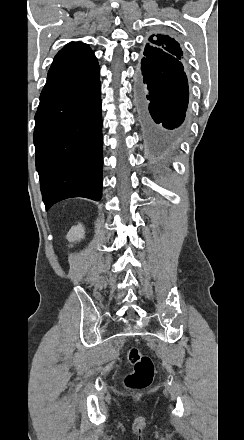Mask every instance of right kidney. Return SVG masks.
<instances>
[{"mask_svg": "<svg viewBox=\"0 0 244 440\" xmlns=\"http://www.w3.org/2000/svg\"><path fill=\"white\" fill-rule=\"evenodd\" d=\"M66 238L68 242H79L81 238H84V228L82 224H78V226H72Z\"/></svg>", "mask_w": 244, "mask_h": 440, "instance_id": "1", "label": "right kidney"}]
</instances>
